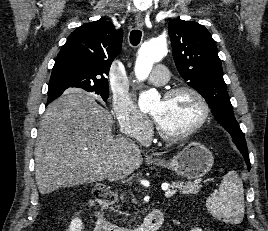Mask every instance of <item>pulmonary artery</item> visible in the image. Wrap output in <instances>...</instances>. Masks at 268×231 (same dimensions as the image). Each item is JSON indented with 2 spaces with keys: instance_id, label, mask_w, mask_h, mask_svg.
I'll return each mask as SVG.
<instances>
[{
  "instance_id": "pulmonary-artery-1",
  "label": "pulmonary artery",
  "mask_w": 268,
  "mask_h": 231,
  "mask_svg": "<svg viewBox=\"0 0 268 231\" xmlns=\"http://www.w3.org/2000/svg\"><path fill=\"white\" fill-rule=\"evenodd\" d=\"M150 81L158 85L166 84L168 81L167 68L164 65L157 66Z\"/></svg>"
}]
</instances>
